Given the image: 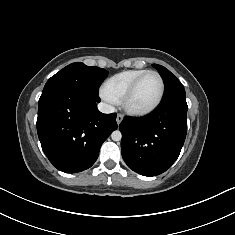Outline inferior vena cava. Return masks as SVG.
Segmentation results:
<instances>
[{
    "label": "inferior vena cava",
    "instance_id": "1",
    "mask_svg": "<svg viewBox=\"0 0 235 235\" xmlns=\"http://www.w3.org/2000/svg\"><path fill=\"white\" fill-rule=\"evenodd\" d=\"M98 109L100 112L105 113V114L113 113L115 111L114 106L104 103V102H100L98 104Z\"/></svg>",
    "mask_w": 235,
    "mask_h": 235
}]
</instances>
